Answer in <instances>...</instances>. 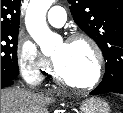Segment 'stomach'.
Instances as JSON below:
<instances>
[{
    "instance_id": "0dacf381",
    "label": "stomach",
    "mask_w": 123,
    "mask_h": 113,
    "mask_svg": "<svg viewBox=\"0 0 123 113\" xmlns=\"http://www.w3.org/2000/svg\"><path fill=\"white\" fill-rule=\"evenodd\" d=\"M80 109L82 113H110L108 103L97 97L82 101Z\"/></svg>"
}]
</instances>
